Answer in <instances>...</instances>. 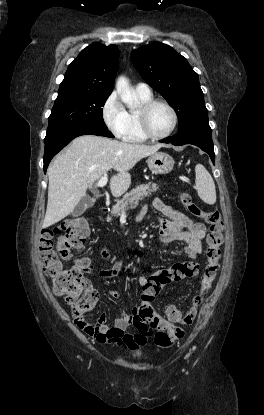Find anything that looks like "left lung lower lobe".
Returning a JSON list of instances; mask_svg holds the SVG:
<instances>
[{
	"label": "left lung lower lobe",
	"instance_id": "1",
	"mask_svg": "<svg viewBox=\"0 0 264 415\" xmlns=\"http://www.w3.org/2000/svg\"><path fill=\"white\" fill-rule=\"evenodd\" d=\"M211 128L208 120L191 123L178 131L172 137L162 140L163 143H172L176 146L193 144L209 154L213 164H215V154L212 141Z\"/></svg>",
	"mask_w": 264,
	"mask_h": 415
}]
</instances>
